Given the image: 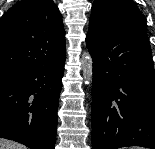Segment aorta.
<instances>
[{"mask_svg":"<svg viewBox=\"0 0 155 149\" xmlns=\"http://www.w3.org/2000/svg\"><path fill=\"white\" fill-rule=\"evenodd\" d=\"M81 62L83 66V76L86 83H90L92 81L93 75V62L89 52H84L81 57Z\"/></svg>","mask_w":155,"mask_h":149,"instance_id":"obj_1","label":"aorta"}]
</instances>
